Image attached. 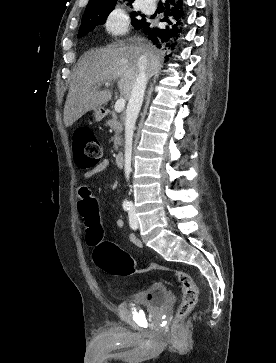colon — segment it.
Masks as SVG:
<instances>
[{
  "label": "colon",
  "mask_w": 276,
  "mask_h": 363,
  "mask_svg": "<svg viewBox=\"0 0 276 363\" xmlns=\"http://www.w3.org/2000/svg\"><path fill=\"white\" fill-rule=\"evenodd\" d=\"M73 150L78 164L82 168L92 167L102 160V146L94 133L88 128H78L73 136ZM86 241L94 247L93 260L105 272L117 276L133 274L135 267L142 264L120 249L116 244L103 238V229L99 223L98 214L90 218ZM157 271L168 269L152 264L145 265ZM178 284L183 290L182 301L179 305L176 320L188 316L195 308L199 298V288L192 276L184 271H174Z\"/></svg>",
  "instance_id": "1"
}]
</instances>
